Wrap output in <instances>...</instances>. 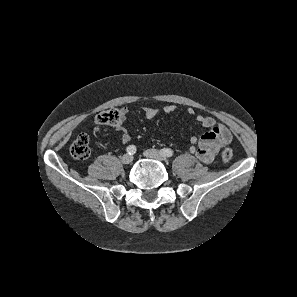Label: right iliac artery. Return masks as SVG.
<instances>
[{"mask_svg": "<svg viewBox=\"0 0 297 297\" xmlns=\"http://www.w3.org/2000/svg\"><path fill=\"white\" fill-rule=\"evenodd\" d=\"M126 151L129 155H133L136 153V147L134 145H129L127 148H126Z\"/></svg>", "mask_w": 297, "mask_h": 297, "instance_id": "82829eb1", "label": "right iliac artery"}]
</instances>
